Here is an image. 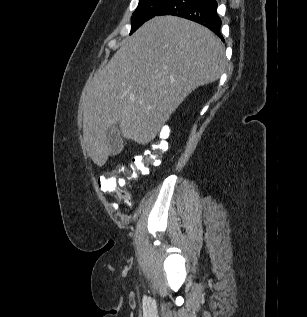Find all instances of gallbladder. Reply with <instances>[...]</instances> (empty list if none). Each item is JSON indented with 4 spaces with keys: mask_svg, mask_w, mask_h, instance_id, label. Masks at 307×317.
Instances as JSON below:
<instances>
[{
    "mask_svg": "<svg viewBox=\"0 0 307 317\" xmlns=\"http://www.w3.org/2000/svg\"><path fill=\"white\" fill-rule=\"evenodd\" d=\"M110 142V154L115 156L121 152L124 142L120 133V122H116L107 134Z\"/></svg>",
    "mask_w": 307,
    "mask_h": 317,
    "instance_id": "gallbladder-1",
    "label": "gallbladder"
}]
</instances>
